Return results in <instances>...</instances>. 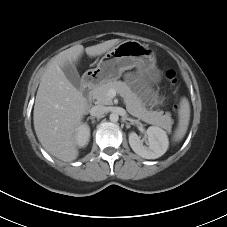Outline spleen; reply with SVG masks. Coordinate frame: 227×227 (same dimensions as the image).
Segmentation results:
<instances>
[{
  "mask_svg": "<svg viewBox=\"0 0 227 227\" xmlns=\"http://www.w3.org/2000/svg\"><path fill=\"white\" fill-rule=\"evenodd\" d=\"M190 120V105L187 98H182L179 109V123L175 130L173 140L178 142L185 136Z\"/></svg>",
  "mask_w": 227,
  "mask_h": 227,
  "instance_id": "3e777b00",
  "label": "spleen"
}]
</instances>
